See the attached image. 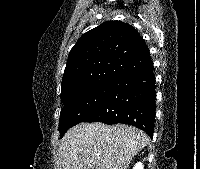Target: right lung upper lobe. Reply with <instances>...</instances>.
Segmentation results:
<instances>
[{"mask_svg": "<svg viewBox=\"0 0 200 169\" xmlns=\"http://www.w3.org/2000/svg\"><path fill=\"white\" fill-rule=\"evenodd\" d=\"M151 66L147 45L134 27L119 21L104 22L83 34L71 49L61 100L97 81L118 80Z\"/></svg>", "mask_w": 200, "mask_h": 169, "instance_id": "right-lung-upper-lobe-1", "label": "right lung upper lobe"}]
</instances>
